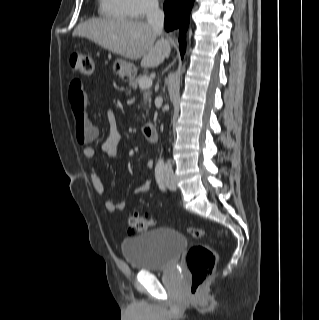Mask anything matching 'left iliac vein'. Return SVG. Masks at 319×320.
<instances>
[{"label": "left iliac vein", "instance_id": "obj_1", "mask_svg": "<svg viewBox=\"0 0 319 320\" xmlns=\"http://www.w3.org/2000/svg\"><path fill=\"white\" fill-rule=\"evenodd\" d=\"M165 183L166 186L170 189V190H175L176 189V182L173 178H170L168 176L165 177Z\"/></svg>", "mask_w": 319, "mask_h": 320}]
</instances>
